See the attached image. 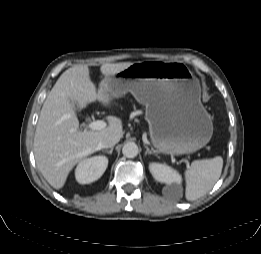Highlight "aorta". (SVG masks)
Listing matches in <instances>:
<instances>
[{"label":"aorta","mask_w":261,"mask_h":254,"mask_svg":"<svg viewBox=\"0 0 261 254\" xmlns=\"http://www.w3.org/2000/svg\"><path fill=\"white\" fill-rule=\"evenodd\" d=\"M122 153L127 158H134L138 154V146L134 142H127L122 148Z\"/></svg>","instance_id":"762f6f07"}]
</instances>
